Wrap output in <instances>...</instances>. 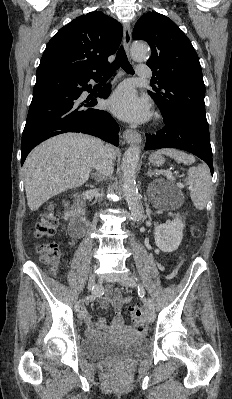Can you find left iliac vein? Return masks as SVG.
I'll use <instances>...</instances> for the list:
<instances>
[{"mask_svg": "<svg viewBox=\"0 0 232 399\" xmlns=\"http://www.w3.org/2000/svg\"><path fill=\"white\" fill-rule=\"evenodd\" d=\"M120 282L122 286H129L131 288H137L138 285V282L134 281L133 278H121ZM147 314H148L147 322L153 323L155 321V311L153 310L152 307L148 308Z\"/></svg>", "mask_w": 232, "mask_h": 399, "instance_id": "obj_1", "label": "left iliac vein"}]
</instances>
